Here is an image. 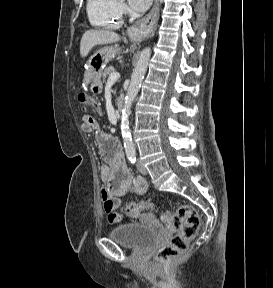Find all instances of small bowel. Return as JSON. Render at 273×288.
I'll return each mask as SVG.
<instances>
[{"mask_svg":"<svg viewBox=\"0 0 273 288\" xmlns=\"http://www.w3.org/2000/svg\"><path fill=\"white\" fill-rule=\"evenodd\" d=\"M81 128L86 133L96 131L97 145L104 161L101 178L106 184L101 190V199L109 221L119 222L122 219L116 212L119 199L130 193L144 194L147 183L144 178L131 174L125 163L120 143L116 138L100 131L98 121L92 115H83Z\"/></svg>","mask_w":273,"mask_h":288,"instance_id":"1","label":"small bowel"}]
</instances>
